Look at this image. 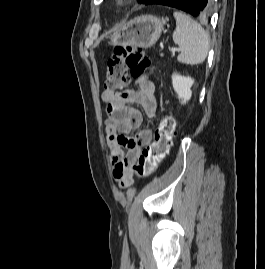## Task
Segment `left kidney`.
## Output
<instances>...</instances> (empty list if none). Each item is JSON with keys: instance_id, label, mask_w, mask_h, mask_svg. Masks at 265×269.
I'll list each match as a JSON object with an SVG mask.
<instances>
[{"instance_id": "1", "label": "left kidney", "mask_w": 265, "mask_h": 269, "mask_svg": "<svg viewBox=\"0 0 265 269\" xmlns=\"http://www.w3.org/2000/svg\"><path fill=\"white\" fill-rule=\"evenodd\" d=\"M172 84L182 104L190 100L192 96L191 87L194 84V79L174 73L172 75Z\"/></svg>"}]
</instances>
